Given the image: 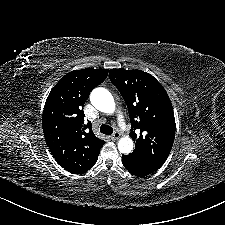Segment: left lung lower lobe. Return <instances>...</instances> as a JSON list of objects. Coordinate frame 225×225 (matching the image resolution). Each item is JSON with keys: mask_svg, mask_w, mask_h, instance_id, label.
Returning <instances> with one entry per match:
<instances>
[{"mask_svg": "<svg viewBox=\"0 0 225 225\" xmlns=\"http://www.w3.org/2000/svg\"><path fill=\"white\" fill-rule=\"evenodd\" d=\"M122 160L125 168L138 177L147 176L157 169L156 167L145 165L129 156L122 155Z\"/></svg>", "mask_w": 225, "mask_h": 225, "instance_id": "obj_1", "label": "left lung lower lobe"}]
</instances>
